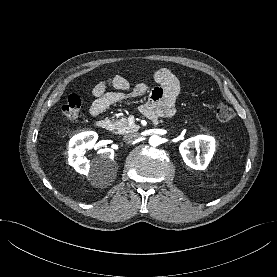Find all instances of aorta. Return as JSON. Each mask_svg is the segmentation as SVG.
<instances>
[{
	"label": "aorta",
	"instance_id": "1",
	"mask_svg": "<svg viewBox=\"0 0 277 277\" xmlns=\"http://www.w3.org/2000/svg\"><path fill=\"white\" fill-rule=\"evenodd\" d=\"M160 143H161V139H160V137L157 136V135H152V136L149 138V144H150L151 146H158V145H160Z\"/></svg>",
	"mask_w": 277,
	"mask_h": 277
}]
</instances>
